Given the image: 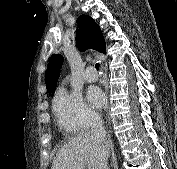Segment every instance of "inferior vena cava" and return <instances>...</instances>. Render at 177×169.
<instances>
[{
    "label": "inferior vena cava",
    "mask_w": 177,
    "mask_h": 169,
    "mask_svg": "<svg viewBox=\"0 0 177 169\" xmlns=\"http://www.w3.org/2000/svg\"><path fill=\"white\" fill-rule=\"evenodd\" d=\"M91 134L94 135L96 138H98L102 144L107 146V141H106V131L103 126V121L100 116H93L91 118ZM108 154V152H107ZM107 159L105 160V163L103 165V169H109L107 165Z\"/></svg>",
    "instance_id": "602c4592"
}]
</instances>
